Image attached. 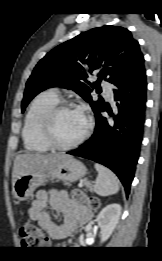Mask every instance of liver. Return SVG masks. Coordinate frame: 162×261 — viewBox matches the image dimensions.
I'll return each mask as SVG.
<instances>
[{"instance_id":"obj_1","label":"liver","mask_w":162,"mask_h":261,"mask_svg":"<svg viewBox=\"0 0 162 261\" xmlns=\"http://www.w3.org/2000/svg\"><path fill=\"white\" fill-rule=\"evenodd\" d=\"M68 155L64 153L58 154H33L26 153L17 155L14 160L12 172V185L22 175L47 172L53 169L58 162L66 158Z\"/></svg>"}]
</instances>
